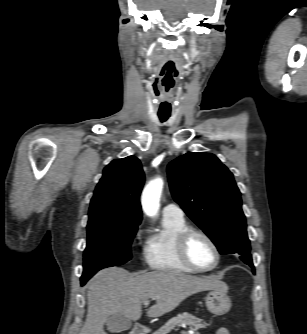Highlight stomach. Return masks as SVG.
I'll use <instances>...</instances> for the list:
<instances>
[{
  "label": "stomach",
  "mask_w": 307,
  "mask_h": 334,
  "mask_svg": "<svg viewBox=\"0 0 307 334\" xmlns=\"http://www.w3.org/2000/svg\"><path fill=\"white\" fill-rule=\"evenodd\" d=\"M228 287L225 283L217 289L211 290L206 296L207 309L215 315H224L231 308V300L227 295Z\"/></svg>",
  "instance_id": "obj_1"
}]
</instances>
